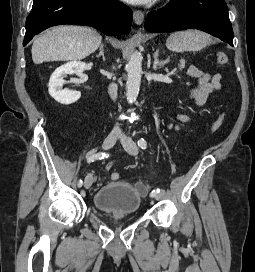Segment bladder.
Here are the masks:
<instances>
[{
    "instance_id": "31cf9c89",
    "label": "bladder",
    "mask_w": 255,
    "mask_h": 272,
    "mask_svg": "<svg viewBox=\"0 0 255 272\" xmlns=\"http://www.w3.org/2000/svg\"><path fill=\"white\" fill-rule=\"evenodd\" d=\"M142 194L127 181L109 182L93 196L94 206L107 215H133L141 206Z\"/></svg>"
}]
</instances>
